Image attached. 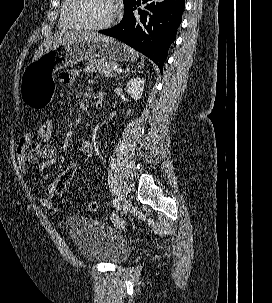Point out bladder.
<instances>
[{"instance_id":"31cf9c89","label":"bladder","mask_w":272,"mask_h":303,"mask_svg":"<svg viewBox=\"0 0 272 303\" xmlns=\"http://www.w3.org/2000/svg\"><path fill=\"white\" fill-rule=\"evenodd\" d=\"M66 230L87 262L119 264L130 254L127 240L110 225L82 215L69 216Z\"/></svg>"}]
</instances>
